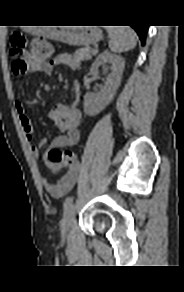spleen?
Returning a JSON list of instances; mask_svg holds the SVG:
<instances>
[{"label":"spleen","mask_w":184,"mask_h":292,"mask_svg":"<svg viewBox=\"0 0 184 292\" xmlns=\"http://www.w3.org/2000/svg\"><path fill=\"white\" fill-rule=\"evenodd\" d=\"M109 37V48L113 53H123L133 49L136 34L130 27L114 26L106 28Z\"/></svg>","instance_id":"1"}]
</instances>
